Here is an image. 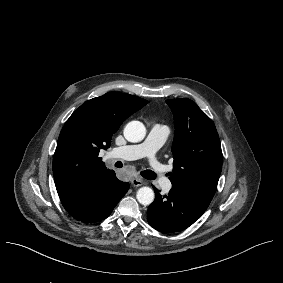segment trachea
Listing matches in <instances>:
<instances>
[{
  "instance_id": "3493384b",
  "label": "trachea",
  "mask_w": 283,
  "mask_h": 283,
  "mask_svg": "<svg viewBox=\"0 0 283 283\" xmlns=\"http://www.w3.org/2000/svg\"><path fill=\"white\" fill-rule=\"evenodd\" d=\"M116 167L118 168H121L122 167V163L121 162H117L115 164ZM141 176L144 177L145 179L147 180H154L156 178V174L151 171V170H144V171H141Z\"/></svg>"
}]
</instances>
